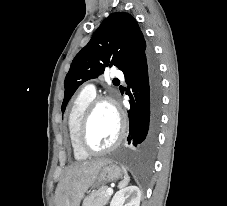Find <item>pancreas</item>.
Here are the masks:
<instances>
[{"label": "pancreas", "mask_w": 227, "mask_h": 206, "mask_svg": "<svg viewBox=\"0 0 227 206\" xmlns=\"http://www.w3.org/2000/svg\"><path fill=\"white\" fill-rule=\"evenodd\" d=\"M107 186H102L98 190L91 192L83 201L82 206H105L109 199L110 195H107Z\"/></svg>", "instance_id": "obj_1"}]
</instances>
